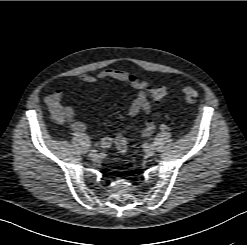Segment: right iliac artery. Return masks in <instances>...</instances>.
Listing matches in <instances>:
<instances>
[{"label":"right iliac artery","instance_id":"1","mask_svg":"<svg viewBox=\"0 0 247 245\" xmlns=\"http://www.w3.org/2000/svg\"><path fill=\"white\" fill-rule=\"evenodd\" d=\"M91 151H92V152H97V150H96V149H91Z\"/></svg>","mask_w":247,"mask_h":245}]
</instances>
